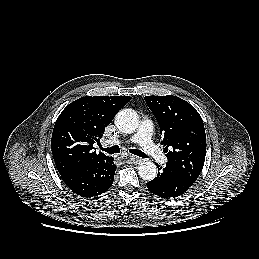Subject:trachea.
I'll use <instances>...</instances> for the list:
<instances>
[{"label":"trachea","instance_id":"obj_1","mask_svg":"<svg viewBox=\"0 0 259 259\" xmlns=\"http://www.w3.org/2000/svg\"><path fill=\"white\" fill-rule=\"evenodd\" d=\"M100 149L102 151L107 152L110 155L117 154L120 152V148L117 145L109 147V148H103L102 146H100ZM130 153H132L136 156L142 157V158H148V156L145 153H143L141 150H138V149H130Z\"/></svg>","mask_w":259,"mask_h":259}]
</instances>
